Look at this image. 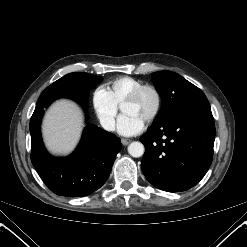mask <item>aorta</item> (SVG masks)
I'll list each match as a JSON object with an SVG mask.
<instances>
[{
  "label": "aorta",
  "mask_w": 247,
  "mask_h": 247,
  "mask_svg": "<svg viewBox=\"0 0 247 247\" xmlns=\"http://www.w3.org/2000/svg\"><path fill=\"white\" fill-rule=\"evenodd\" d=\"M145 148L141 142L134 141L128 146V153L132 157H141L144 154Z\"/></svg>",
  "instance_id": "obj_1"
}]
</instances>
